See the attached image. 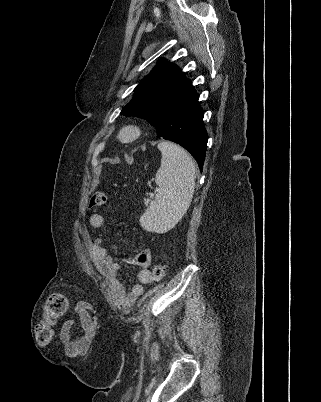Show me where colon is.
Here are the masks:
<instances>
[{
  "label": "colon",
  "mask_w": 321,
  "mask_h": 402,
  "mask_svg": "<svg viewBox=\"0 0 321 402\" xmlns=\"http://www.w3.org/2000/svg\"><path fill=\"white\" fill-rule=\"evenodd\" d=\"M106 202V195L103 192H97L91 195L89 207H99ZM152 278L155 281H161L165 277V265L156 263L152 267ZM70 306L68 297L63 293L51 294L45 304L43 318L38 322L35 328L36 339L40 344H48L53 338V326L56 320L65 315Z\"/></svg>",
  "instance_id": "5ec220e1"
}]
</instances>
